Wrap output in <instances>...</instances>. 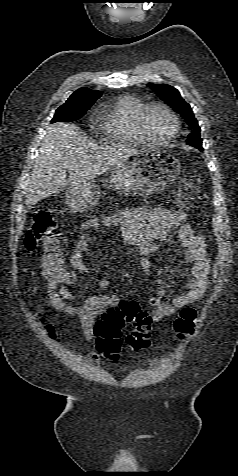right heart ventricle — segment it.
<instances>
[{"label": "right heart ventricle", "instance_id": "e07e8e85", "mask_svg": "<svg viewBox=\"0 0 238 476\" xmlns=\"http://www.w3.org/2000/svg\"><path fill=\"white\" fill-rule=\"evenodd\" d=\"M144 101L130 94H121L108 104L101 123L107 141L114 144L141 146L147 141L140 134L137 115Z\"/></svg>", "mask_w": 238, "mask_h": 476}]
</instances>
